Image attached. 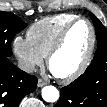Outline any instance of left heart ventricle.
<instances>
[{
	"mask_svg": "<svg viewBox=\"0 0 107 107\" xmlns=\"http://www.w3.org/2000/svg\"><path fill=\"white\" fill-rule=\"evenodd\" d=\"M91 40L89 26L77 23L69 32L64 45L52 58L50 69L57 76H66L76 71L84 61Z\"/></svg>",
	"mask_w": 107,
	"mask_h": 107,
	"instance_id": "left-heart-ventricle-1",
	"label": "left heart ventricle"
}]
</instances>
